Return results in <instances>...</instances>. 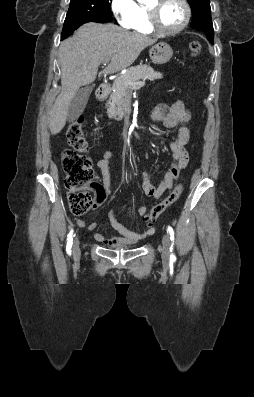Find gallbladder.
I'll return each mask as SVG.
<instances>
[{"label":"gallbladder","instance_id":"1","mask_svg":"<svg viewBox=\"0 0 254 397\" xmlns=\"http://www.w3.org/2000/svg\"><path fill=\"white\" fill-rule=\"evenodd\" d=\"M92 89V86H85L78 90L77 94L72 99L68 107L67 119L69 122L77 119L82 114L88 102L89 96L92 92Z\"/></svg>","mask_w":254,"mask_h":397}]
</instances>
